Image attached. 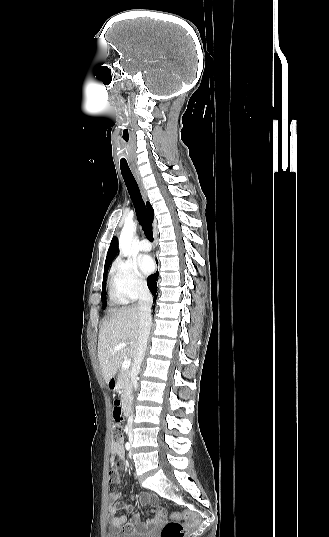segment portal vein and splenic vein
Listing matches in <instances>:
<instances>
[{
  "label": "portal vein and splenic vein",
  "instance_id": "18ae733b",
  "mask_svg": "<svg viewBox=\"0 0 329 537\" xmlns=\"http://www.w3.org/2000/svg\"><path fill=\"white\" fill-rule=\"evenodd\" d=\"M126 346H127V343H120V344H118V345H116V346L114 347V350H113L112 353H115V352H117L118 350H120V349H122V348H124V347H126ZM130 364H131V359H125V360L123 361L122 368H124V369H128V368L130 367Z\"/></svg>",
  "mask_w": 329,
  "mask_h": 537
}]
</instances>
